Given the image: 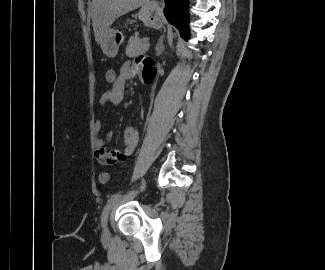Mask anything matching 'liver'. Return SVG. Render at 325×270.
Listing matches in <instances>:
<instances>
[{
  "instance_id": "obj_1",
  "label": "liver",
  "mask_w": 325,
  "mask_h": 270,
  "mask_svg": "<svg viewBox=\"0 0 325 270\" xmlns=\"http://www.w3.org/2000/svg\"><path fill=\"white\" fill-rule=\"evenodd\" d=\"M147 2L148 0H93L92 25L96 42L102 46L109 27L118 17Z\"/></svg>"
}]
</instances>
